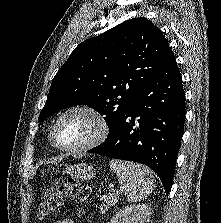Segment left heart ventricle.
<instances>
[{
  "mask_svg": "<svg viewBox=\"0 0 221 223\" xmlns=\"http://www.w3.org/2000/svg\"><path fill=\"white\" fill-rule=\"evenodd\" d=\"M96 130L97 124L88 114L70 113L61 120L56 139L62 146H78L88 141Z\"/></svg>",
  "mask_w": 221,
  "mask_h": 223,
  "instance_id": "obj_1",
  "label": "left heart ventricle"
}]
</instances>
